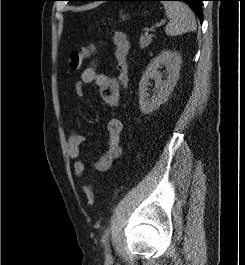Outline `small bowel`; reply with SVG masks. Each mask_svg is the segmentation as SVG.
Wrapping results in <instances>:
<instances>
[{"label":"small bowel","instance_id":"c3829d8e","mask_svg":"<svg viewBox=\"0 0 245 265\" xmlns=\"http://www.w3.org/2000/svg\"><path fill=\"white\" fill-rule=\"evenodd\" d=\"M94 84L99 88L100 95L103 101L110 107H117L120 102V83L110 75L100 73L97 71V62L93 61L86 67L81 79L75 83L74 91L78 97L85 95V85ZM123 130L122 121L114 117L107 125V143L106 151L93 162L94 170L104 172L109 169L113 160L118 158L122 153L121 148V134ZM85 141L82 134L72 131L67 138V152L69 158L73 161V171L76 176L83 174L85 164L78 159L80 146Z\"/></svg>","mask_w":245,"mask_h":265}]
</instances>
